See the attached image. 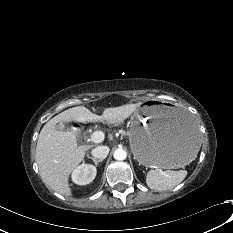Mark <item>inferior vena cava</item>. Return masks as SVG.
<instances>
[{
    "instance_id": "obj_1",
    "label": "inferior vena cava",
    "mask_w": 233,
    "mask_h": 233,
    "mask_svg": "<svg viewBox=\"0 0 233 233\" xmlns=\"http://www.w3.org/2000/svg\"><path fill=\"white\" fill-rule=\"evenodd\" d=\"M109 151L108 146H97L92 150L91 154L93 157L103 160L107 157Z\"/></svg>"
}]
</instances>
